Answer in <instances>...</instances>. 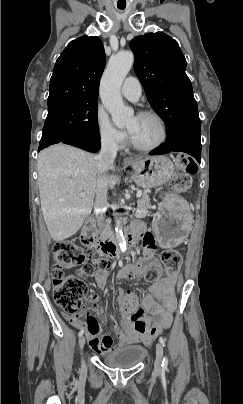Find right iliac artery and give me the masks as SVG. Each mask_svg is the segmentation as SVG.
<instances>
[{"label": "right iliac artery", "instance_id": "right-iliac-artery-1", "mask_svg": "<svg viewBox=\"0 0 243 404\" xmlns=\"http://www.w3.org/2000/svg\"><path fill=\"white\" fill-rule=\"evenodd\" d=\"M83 333H84V331L81 330V331L79 332L78 336L81 337V336L83 335Z\"/></svg>", "mask_w": 243, "mask_h": 404}]
</instances>
